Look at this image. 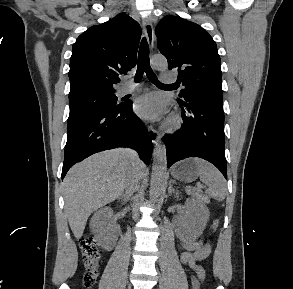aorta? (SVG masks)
<instances>
[{"label":"aorta","instance_id":"aorta-1","mask_svg":"<svg viewBox=\"0 0 293 289\" xmlns=\"http://www.w3.org/2000/svg\"><path fill=\"white\" fill-rule=\"evenodd\" d=\"M152 65L158 69H165L167 61L163 57H153ZM167 156L166 147L161 140H157L153 150V166L151 174L150 200L157 201L166 181Z\"/></svg>","mask_w":293,"mask_h":289}]
</instances>
